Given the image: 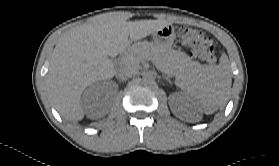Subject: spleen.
Returning a JSON list of instances; mask_svg holds the SVG:
<instances>
[{
  "label": "spleen",
  "mask_w": 279,
  "mask_h": 166,
  "mask_svg": "<svg viewBox=\"0 0 279 166\" xmlns=\"http://www.w3.org/2000/svg\"><path fill=\"white\" fill-rule=\"evenodd\" d=\"M175 84L186 95L197 100L205 113H213L229 98L231 69L226 56L218 66L204 65L179 76Z\"/></svg>",
  "instance_id": "3e777b00"
}]
</instances>
